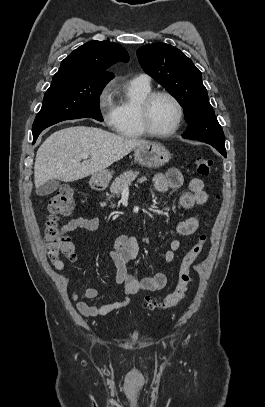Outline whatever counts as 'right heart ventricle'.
Here are the masks:
<instances>
[{"label":"right heart ventricle","instance_id":"obj_1","mask_svg":"<svg viewBox=\"0 0 265 407\" xmlns=\"http://www.w3.org/2000/svg\"><path fill=\"white\" fill-rule=\"evenodd\" d=\"M152 92L150 82L132 79L125 86V96L115 106L113 129L124 138H142L147 134L142 129L138 110L144 98Z\"/></svg>","mask_w":265,"mask_h":407}]
</instances>
